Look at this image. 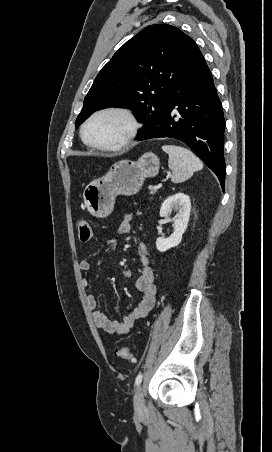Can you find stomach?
Wrapping results in <instances>:
<instances>
[{
  "instance_id": "stomach-1",
  "label": "stomach",
  "mask_w": 272,
  "mask_h": 452,
  "mask_svg": "<svg viewBox=\"0 0 272 452\" xmlns=\"http://www.w3.org/2000/svg\"><path fill=\"white\" fill-rule=\"evenodd\" d=\"M159 165V158L152 152L144 153L137 161L116 162L105 176L85 187L84 207L91 215L107 217L113 211L116 196H132L139 192L146 178L158 174Z\"/></svg>"
}]
</instances>
